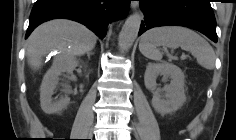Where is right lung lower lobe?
Returning <instances> with one entry per match:
<instances>
[{
	"mask_svg": "<svg viewBox=\"0 0 236 140\" xmlns=\"http://www.w3.org/2000/svg\"><path fill=\"white\" fill-rule=\"evenodd\" d=\"M130 0H37L32 8L26 37L41 23L66 18L86 25L100 38L111 21L124 18Z\"/></svg>",
	"mask_w": 236,
	"mask_h": 140,
	"instance_id": "obj_1",
	"label": "right lung lower lobe"
}]
</instances>
